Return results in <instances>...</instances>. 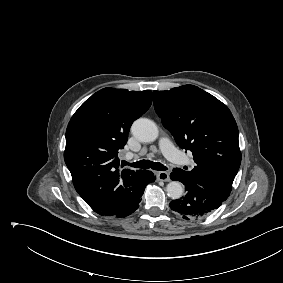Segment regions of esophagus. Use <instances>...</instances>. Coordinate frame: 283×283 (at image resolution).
Masks as SVG:
<instances>
[{
	"label": "esophagus",
	"instance_id": "esophagus-1",
	"mask_svg": "<svg viewBox=\"0 0 283 283\" xmlns=\"http://www.w3.org/2000/svg\"><path fill=\"white\" fill-rule=\"evenodd\" d=\"M157 178L158 180L164 181V182H169L170 181V177L169 174L165 171H160L157 173Z\"/></svg>",
	"mask_w": 283,
	"mask_h": 283
}]
</instances>
